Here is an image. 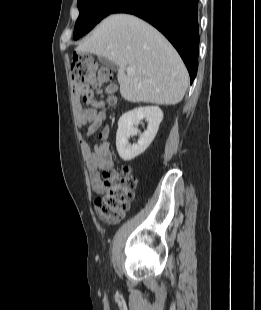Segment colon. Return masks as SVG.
Here are the masks:
<instances>
[{"mask_svg":"<svg viewBox=\"0 0 261 310\" xmlns=\"http://www.w3.org/2000/svg\"><path fill=\"white\" fill-rule=\"evenodd\" d=\"M71 77L77 85H105L104 92L109 95V103H115L114 86L110 84L112 73L99 66L94 57L88 53H77L72 57ZM102 180L105 193L95 202L98 217L107 223L118 221L128 208L133 198L136 179L129 167L121 171L108 170L103 173Z\"/></svg>","mask_w":261,"mask_h":310,"instance_id":"colon-1","label":"colon"}]
</instances>
